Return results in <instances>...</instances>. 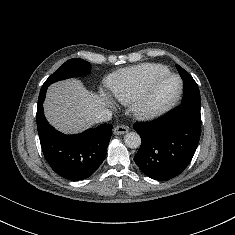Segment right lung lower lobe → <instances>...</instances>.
Listing matches in <instances>:
<instances>
[{
	"label": "right lung lower lobe",
	"mask_w": 235,
	"mask_h": 235,
	"mask_svg": "<svg viewBox=\"0 0 235 235\" xmlns=\"http://www.w3.org/2000/svg\"><path fill=\"white\" fill-rule=\"evenodd\" d=\"M47 87L41 88L37 105V130L44 157L50 167L69 180L91 176L104 161L112 125L88 129L77 135H64L46 120L43 102Z\"/></svg>",
	"instance_id": "right-lung-lower-lobe-1"
}]
</instances>
